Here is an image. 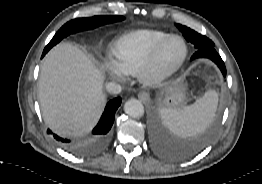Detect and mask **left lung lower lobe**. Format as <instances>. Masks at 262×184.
Masks as SVG:
<instances>
[{
  "label": "left lung lower lobe",
  "instance_id": "1",
  "mask_svg": "<svg viewBox=\"0 0 262 184\" xmlns=\"http://www.w3.org/2000/svg\"><path fill=\"white\" fill-rule=\"evenodd\" d=\"M206 57L211 59L223 76H226V67L222 58L218 55L214 47H204L198 49L192 56L196 58ZM150 143L153 150L160 156L169 160H184L192 158L209 144L210 136L202 135L193 138L176 137L163 120L161 113L154 111L151 113L148 122Z\"/></svg>",
  "mask_w": 262,
  "mask_h": 184
}]
</instances>
